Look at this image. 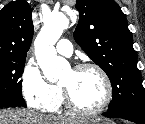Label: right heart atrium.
Wrapping results in <instances>:
<instances>
[{
    "instance_id": "1",
    "label": "right heart atrium",
    "mask_w": 145,
    "mask_h": 124,
    "mask_svg": "<svg viewBox=\"0 0 145 124\" xmlns=\"http://www.w3.org/2000/svg\"><path fill=\"white\" fill-rule=\"evenodd\" d=\"M21 88L25 100L35 109L48 110L57 102V87L45 80L38 65L33 61L24 66Z\"/></svg>"
}]
</instances>
